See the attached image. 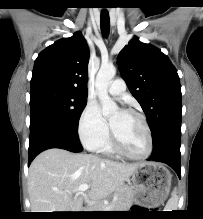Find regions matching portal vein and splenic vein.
<instances>
[{"label": "portal vein and splenic vein", "instance_id": "1", "mask_svg": "<svg viewBox=\"0 0 203 219\" xmlns=\"http://www.w3.org/2000/svg\"><path fill=\"white\" fill-rule=\"evenodd\" d=\"M89 185L88 184H81L76 190H74V192H80V193H83L85 192L86 190L89 189ZM112 208L111 205H108L104 208L105 211H109L110 209Z\"/></svg>", "mask_w": 203, "mask_h": 219}]
</instances>
